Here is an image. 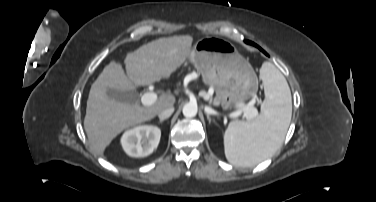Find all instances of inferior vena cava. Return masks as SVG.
Listing matches in <instances>:
<instances>
[{"label": "inferior vena cava", "instance_id": "inferior-vena-cava-1", "mask_svg": "<svg viewBox=\"0 0 376 202\" xmlns=\"http://www.w3.org/2000/svg\"><path fill=\"white\" fill-rule=\"evenodd\" d=\"M173 112H174V107L171 106L159 112L158 117L160 120H165L169 118L173 114Z\"/></svg>", "mask_w": 376, "mask_h": 202}]
</instances>
